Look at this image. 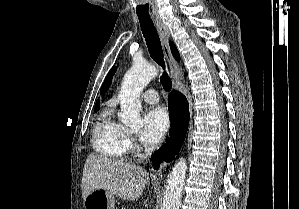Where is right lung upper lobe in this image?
<instances>
[{"mask_svg":"<svg viewBox=\"0 0 299 209\" xmlns=\"http://www.w3.org/2000/svg\"><path fill=\"white\" fill-rule=\"evenodd\" d=\"M169 44H170L171 51H172V54H173L174 58L177 61H180V55H179V52H178L177 48L175 47V45L171 41L169 42ZM98 109H99V102L97 101L96 105H95V111H97Z\"/></svg>","mask_w":299,"mask_h":209,"instance_id":"1","label":"right lung upper lobe"}]
</instances>
